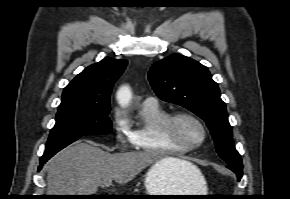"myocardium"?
<instances>
[{
    "label": "myocardium",
    "mask_w": 290,
    "mask_h": 199,
    "mask_svg": "<svg viewBox=\"0 0 290 199\" xmlns=\"http://www.w3.org/2000/svg\"><path fill=\"white\" fill-rule=\"evenodd\" d=\"M187 119L194 123H196L202 130V138L199 142L195 144H189L182 140L177 133L175 132V125L179 120ZM162 135L166 138V140L170 143V145L174 147H178L185 152H189L192 150H195L199 147H201L207 140L208 137V131L203 123V121L198 118L196 115L185 112V111H179L173 114H170L168 118L163 122L162 128H161Z\"/></svg>",
    "instance_id": "f54148a6"
}]
</instances>
